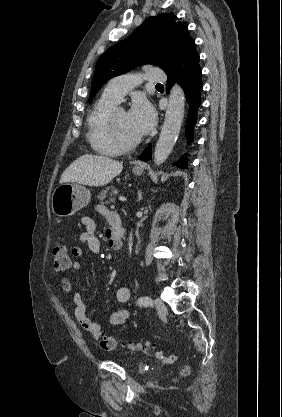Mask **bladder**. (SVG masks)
Wrapping results in <instances>:
<instances>
[{"label": "bladder", "mask_w": 282, "mask_h": 417, "mask_svg": "<svg viewBox=\"0 0 282 417\" xmlns=\"http://www.w3.org/2000/svg\"><path fill=\"white\" fill-rule=\"evenodd\" d=\"M143 370H144V366L143 365L139 364V365L136 366V371L137 372H142Z\"/></svg>", "instance_id": "31cf9c89"}]
</instances>
